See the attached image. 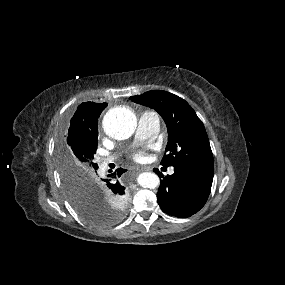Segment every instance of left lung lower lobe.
Wrapping results in <instances>:
<instances>
[{"instance_id": "0a47b994", "label": "left lung lower lobe", "mask_w": 285, "mask_h": 285, "mask_svg": "<svg viewBox=\"0 0 285 285\" xmlns=\"http://www.w3.org/2000/svg\"><path fill=\"white\" fill-rule=\"evenodd\" d=\"M154 171L163 177L158 170ZM213 174L214 168L174 167V174L161 180L157 193L159 206L169 215L190 217L205 205Z\"/></svg>"}]
</instances>
